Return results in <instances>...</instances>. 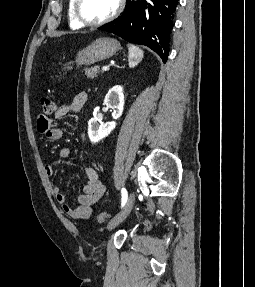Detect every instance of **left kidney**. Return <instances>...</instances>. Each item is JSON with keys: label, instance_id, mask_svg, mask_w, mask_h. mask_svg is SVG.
<instances>
[{"label": "left kidney", "instance_id": "5707ae66", "mask_svg": "<svg viewBox=\"0 0 255 287\" xmlns=\"http://www.w3.org/2000/svg\"><path fill=\"white\" fill-rule=\"evenodd\" d=\"M106 108H111L113 120H118L123 114L124 110V94L122 86H113L104 98ZM116 128V122H106L103 124L97 118H91L88 122V136L89 140L95 144L100 142L106 136L111 134L112 130Z\"/></svg>", "mask_w": 255, "mask_h": 287}]
</instances>
